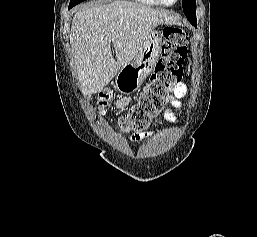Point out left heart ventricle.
Segmentation results:
<instances>
[{
	"mask_svg": "<svg viewBox=\"0 0 257 237\" xmlns=\"http://www.w3.org/2000/svg\"><path fill=\"white\" fill-rule=\"evenodd\" d=\"M167 3H173L175 0H165Z\"/></svg>",
	"mask_w": 257,
	"mask_h": 237,
	"instance_id": "1",
	"label": "left heart ventricle"
}]
</instances>
